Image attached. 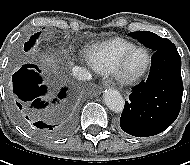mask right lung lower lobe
<instances>
[{
    "label": "right lung lower lobe",
    "mask_w": 190,
    "mask_h": 165,
    "mask_svg": "<svg viewBox=\"0 0 190 165\" xmlns=\"http://www.w3.org/2000/svg\"><path fill=\"white\" fill-rule=\"evenodd\" d=\"M32 69L40 72L33 64L23 65L12 77L13 110L18 120L25 126L32 127L51 137H60L68 133L73 124V116H69L61 124L46 123L41 120L39 110L46 108L49 103L42 101L46 87L41 85V77ZM66 88L58 95L59 99L66 96ZM55 99L52 103L57 102Z\"/></svg>",
    "instance_id": "obj_1"
}]
</instances>
